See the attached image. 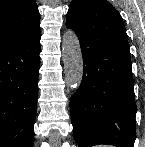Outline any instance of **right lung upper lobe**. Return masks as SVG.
I'll use <instances>...</instances> for the list:
<instances>
[{
  "instance_id": "cb5924a9",
  "label": "right lung upper lobe",
  "mask_w": 145,
  "mask_h": 147,
  "mask_svg": "<svg viewBox=\"0 0 145 147\" xmlns=\"http://www.w3.org/2000/svg\"><path fill=\"white\" fill-rule=\"evenodd\" d=\"M35 0H0V47L40 30Z\"/></svg>"
}]
</instances>
